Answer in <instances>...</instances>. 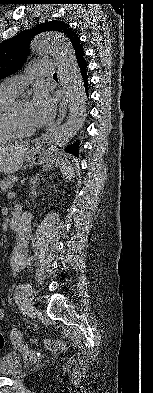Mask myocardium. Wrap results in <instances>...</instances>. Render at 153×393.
I'll list each match as a JSON object with an SVG mask.
<instances>
[{"label": "myocardium", "instance_id": "1", "mask_svg": "<svg viewBox=\"0 0 153 393\" xmlns=\"http://www.w3.org/2000/svg\"><path fill=\"white\" fill-rule=\"evenodd\" d=\"M21 100H15L9 109V125L11 130L13 131L14 135L18 138L28 137L29 135L34 133V129H24L21 127L17 115L16 109L17 106L20 104Z\"/></svg>", "mask_w": 153, "mask_h": 393}]
</instances>
